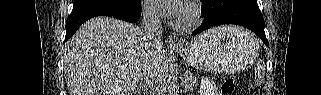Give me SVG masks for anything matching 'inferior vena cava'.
I'll return each mask as SVG.
<instances>
[{
  "mask_svg": "<svg viewBox=\"0 0 321 95\" xmlns=\"http://www.w3.org/2000/svg\"><path fill=\"white\" fill-rule=\"evenodd\" d=\"M141 34L146 45L155 50L162 44V26L158 13L149 6L142 8ZM155 73L153 67L147 65L139 76V84L142 90L151 92L154 86Z\"/></svg>",
  "mask_w": 321,
  "mask_h": 95,
  "instance_id": "602c4592",
  "label": "inferior vena cava"
}]
</instances>
